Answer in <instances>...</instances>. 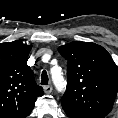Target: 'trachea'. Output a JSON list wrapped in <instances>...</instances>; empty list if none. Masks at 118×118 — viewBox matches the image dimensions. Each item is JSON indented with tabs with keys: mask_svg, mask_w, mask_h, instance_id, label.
Masks as SVG:
<instances>
[{
	"mask_svg": "<svg viewBox=\"0 0 118 118\" xmlns=\"http://www.w3.org/2000/svg\"><path fill=\"white\" fill-rule=\"evenodd\" d=\"M49 82L48 80V74L45 70L42 71V74H41V84L42 85H47Z\"/></svg>",
	"mask_w": 118,
	"mask_h": 118,
	"instance_id": "1",
	"label": "trachea"
}]
</instances>
